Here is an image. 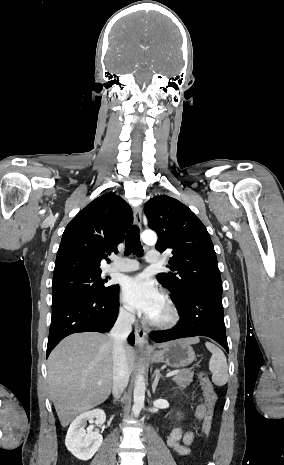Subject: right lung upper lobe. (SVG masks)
<instances>
[{"mask_svg":"<svg viewBox=\"0 0 284 465\" xmlns=\"http://www.w3.org/2000/svg\"><path fill=\"white\" fill-rule=\"evenodd\" d=\"M133 222L129 204L106 193L93 200L66 226L57 252L53 280L76 274L102 273L100 261L117 253Z\"/></svg>","mask_w":284,"mask_h":465,"instance_id":"right-lung-upper-lobe-1","label":"right lung upper lobe"}]
</instances>
